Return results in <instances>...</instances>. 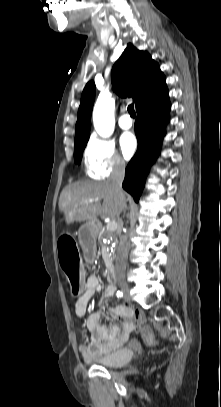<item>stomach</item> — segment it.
<instances>
[{
    "instance_id": "1",
    "label": "stomach",
    "mask_w": 221,
    "mask_h": 407,
    "mask_svg": "<svg viewBox=\"0 0 221 407\" xmlns=\"http://www.w3.org/2000/svg\"><path fill=\"white\" fill-rule=\"evenodd\" d=\"M84 228H91L92 227V224L91 223H87V224H85L84 226H83Z\"/></svg>"
}]
</instances>
